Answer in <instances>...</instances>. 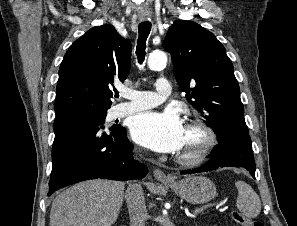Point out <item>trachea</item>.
Here are the masks:
<instances>
[{"mask_svg":"<svg viewBox=\"0 0 297 226\" xmlns=\"http://www.w3.org/2000/svg\"><path fill=\"white\" fill-rule=\"evenodd\" d=\"M151 31V23L150 22H142L138 26L139 37L137 40V47H136V55L138 58L139 63H143L145 58V49H146V40L149 36ZM115 97H119V94L116 93Z\"/></svg>","mask_w":297,"mask_h":226,"instance_id":"1","label":"trachea"}]
</instances>
